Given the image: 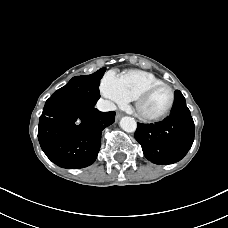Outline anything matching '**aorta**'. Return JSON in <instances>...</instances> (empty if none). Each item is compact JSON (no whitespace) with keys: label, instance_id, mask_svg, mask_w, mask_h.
Instances as JSON below:
<instances>
[{"label":"aorta","instance_id":"1","mask_svg":"<svg viewBox=\"0 0 228 228\" xmlns=\"http://www.w3.org/2000/svg\"><path fill=\"white\" fill-rule=\"evenodd\" d=\"M120 127L125 132H134L137 128V123L134 118L125 116V117H122L120 120Z\"/></svg>","mask_w":228,"mask_h":228}]
</instances>
